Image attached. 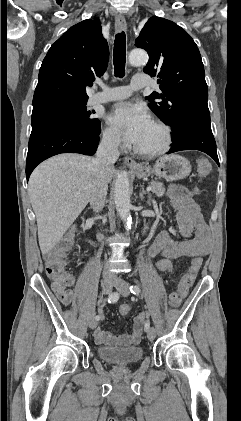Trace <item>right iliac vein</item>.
Returning <instances> with one entry per match:
<instances>
[{
	"label": "right iliac vein",
	"mask_w": 241,
	"mask_h": 421,
	"mask_svg": "<svg viewBox=\"0 0 241 421\" xmlns=\"http://www.w3.org/2000/svg\"><path fill=\"white\" fill-rule=\"evenodd\" d=\"M112 286H113V282L111 280H109V279H105L102 282V285H101V287H102V293L103 294H109V293H111ZM96 326H97V320L94 317L90 318V320H89V327L91 329H94V328H96Z\"/></svg>",
	"instance_id": "1"
}]
</instances>
